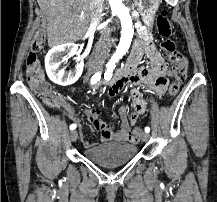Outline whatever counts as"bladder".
Returning <instances> with one entry per match:
<instances>
[{
  "mask_svg": "<svg viewBox=\"0 0 217 202\" xmlns=\"http://www.w3.org/2000/svg\"><path fill=\"white\" fill-rule=\"evenodd\" d=\"M136 152V147L131 143H111L85 149V156L101 166H115L129 162Z\"/></svg>",
  "mask_w": 217,
  "mask_h": 202,
  "instance_id": "1",
  "label": "bladder"
}]
</instances>
